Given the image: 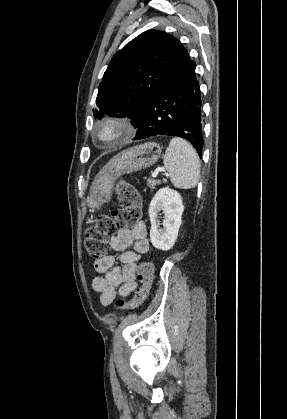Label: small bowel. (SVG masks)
<instances>
[{
	"mask_svg": "<svg viewBox=\"0 0 287 419\" xmlns=\"http://www.w3.org/2000/svg\"><path fill=\"white\" fill-rule=\"evenodd\" d=\"M111 248L120 252L122 266H115L112 255L94 263L99 275L94 277L92 286L100 293L103 305L111 304L117 295L126 297L136 289L137 262L141 255L149 251L146 224L140 221L131 229H120L111 239Z\"/></svg>",
	"mask_w": 287,
	"mask_h": 419,
	"instance_id": "obj_1",
	"label": "small bowel"
}]
</instances>
